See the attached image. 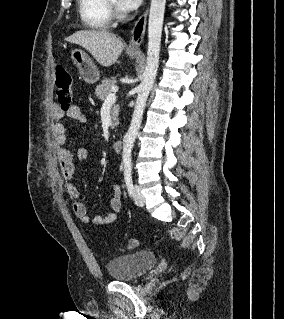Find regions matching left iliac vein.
Wrapping results in <instances>:
<instances>
[{
	"mask_svg": "<svg viewBox=\"0 0 284 319\" xmlns=\"http://www.w3.org/2000/svg\"><path fill=\"white\" fill-rule=\"evenodd\" d=\"M133 191H134L133 192V199H134L135 204L139 207H143L145 204V199H144L143 194L141 193L140 188L137 185H135Z\"/></svg>",
	"mask_w": 284,
	"mask_h": 319,
	"instance_id": "4c4485c4",
	"label": "left iliac vein"
}]
</instances>
